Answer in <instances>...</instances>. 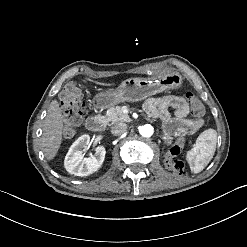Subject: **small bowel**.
I'll return each instance as SVG.
<instances>
[{"instance_id": "1", "label": "small bowel", "mask_w": 247, "mask_h": 247, "mask_svg": "<svg viewBox=\"0 0 247 247\" xmlns=\"http://www.w3.org/2000/svg\"><path fill=\"white\" fill-rule=\"evenodd\" d=\"M174 108L173 114L169 108ZM144 109L151 118H160L165 122V134L167 137L184 133H195L201 126V119H189L190 107L183 98L175 95H162L146 100ZM174 127V128H173Z\"/></svg>"}]
</instances>
